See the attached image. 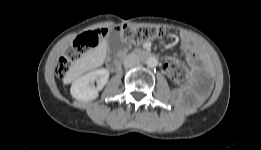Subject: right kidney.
I'll list each match as a JSON object with an SVG mask.
<instances>
[{"instance_id": "obj_1", "label": "right kidney", "mask_w": 261, "mask_h": 150, "mask_svg": "<svg viewBox=\"0 0 261 150\" xmlns=\"http://www.w3.org/2000/svg\"><path fill=\"white\" fill-rule=\"evenodd\" d=\"M109 71L105 68L93 70L72 83L70 93L80 101H92L98 97V92L107 84ZM95 82L97 85L95 86Z\"/></svg>"}]
</instances>
